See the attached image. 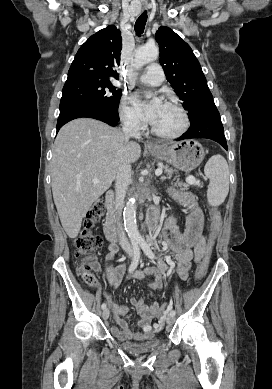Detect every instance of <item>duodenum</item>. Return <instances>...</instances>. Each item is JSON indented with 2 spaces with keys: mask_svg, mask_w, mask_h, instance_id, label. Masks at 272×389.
<instances>
[{
  "mask_svg": "<svg viewBox=\"0 0 272 389\" xmlns=\"http://www.w3.org/2000/svg\"><path fill=\"white\" fill-rule=\"evenodd\" d=\"M114 198L115 193L113 191H108L105 194V203L108 208V215L104 222V234L106 238L111 242L117 241V217L114 211ZM158 216L156 214H152L150 217V224L152 228L157 226Z\"/></svg>",
  "mask_w": 272,
  "mask_h": 389,
  "instance_id": "obj_1",
  "label": "duodenum"
}]
</instances>
